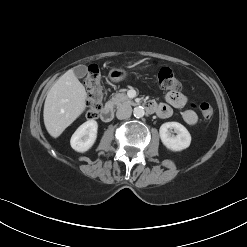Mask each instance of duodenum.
<instances>
[{"label": "duodenum", "instance_id": "1", "mask_svg": "<svg viewBox=\"0 0 247 247\" xmlns=\"http://www.w3.org/2000/svg\"><path fill=\"white\" fill-rule=\"evenodd\" d=\"M145 109L148 112L154 113L157 112V106L153 102H146L144 104ZM114 116L113 106L107 104L101 112V119L103 122H110Z\"/></svg>", "mask_w": 247, "mask_h": 247}]
</instances>
